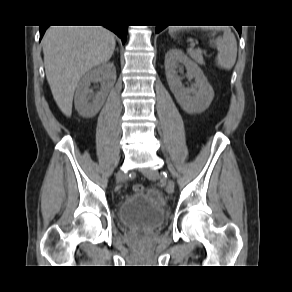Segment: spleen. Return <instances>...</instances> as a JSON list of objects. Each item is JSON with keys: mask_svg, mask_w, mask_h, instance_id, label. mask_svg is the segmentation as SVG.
Wrapping results in <instances>:
<instances>
[{"mask_svg": "<svg viewBox=\"0 0 292 292\" xmlns=\"http://www.w3.org/2000/svg\"><path fill=\"white\" fill-rule=\"evenodd\" d=\"M180 30L181 28L179 27H169L171 35ZM203 30L223 31V36L217 37L211 44H214L218 50L216 64L223 69L230 70L234 66L237 57V42L234 34L227 28H204Z\"/></svg>", "mask_w": 292, "mask_h": 292, "instance_id": "obj_1", "label": "spleen"}]
</instances>
